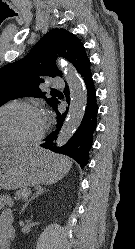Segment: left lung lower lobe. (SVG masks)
I'll return each mask as SVG.
<instances>
[{
    "label": "left lung lower lobe",
    "mask_w": 135,
    "mask_h": 249,
    "mask_svg": "<svg viewBox=\"0 0 135 249\" xmlns=\"http://www.w3.org/2000/svg\"><path fill=\"white\" fill-rule=\"evenodd\" d=\"M80 75L86 87L87 102L84 116L79 128L65 145L57 148L56 144H54L53 141L54 139H56V136L66 118L65 113L61 114L58 111L57 105L59 101H57L53 106V109L57 113V129L45 139V142L41 144V147L67 155L76 160L81 167H84L88 163L89 150L92 147L93 134L97 127L98 105L96 99V89L90 69V62L85 66ZM64 94L66 96V101L70 103L68 86L65 87Z\"/></svg>",
    "instance_id": "left-lung-lower-lobe-1"
}]
</instances>
